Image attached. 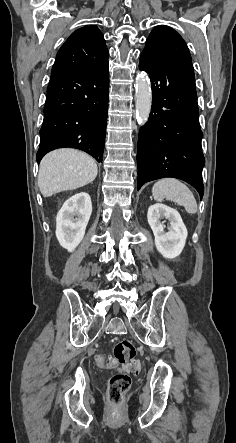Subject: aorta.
Instances as JSON below:
<instances>
[{
    "label": "aorta",
    "instance_id": "762f6f07",
    "mask_svg": "<svg viewBox=\"0 0 236 443\" xmlns=\"http://www.w3.org/2000/svg\"><path fill=\"white\" fill-rule=\"evenodd\" d=\"M152 105V91L150 80L142 74L136 82L135 108L139 124L144 125L148 121Z\"/></svg>",
    "mask_w": 236,
    "mask_h": 443
}]
</instances>
